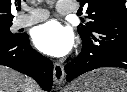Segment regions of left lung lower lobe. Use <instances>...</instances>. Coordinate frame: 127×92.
Returning a JSON list of instances; mask_svg holds the SVG:
<instances>
[{"label": "left lung lower lobe", "mask_w": 127, "mask_h": 92, "mask_svg": "<svg viewBox=\"0 0 127 92\" xmlns=\"http://www.w3.org/2000/svg\"><path fill=\"white\" fill-rule=\"evenodd\" d=\"M81 38L82 52L65 66L68 82L100 67L127 69V29L101 28Z\"/></svg>", "instance_id": "left-lung-lower-lobe-1"}]
</instances>
